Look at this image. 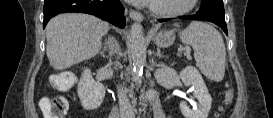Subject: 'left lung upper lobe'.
Masks as SVG:
<instances>
[{
    "mask_svg": "<svg viewBox=\"0 0 273 118\" xmlns=\"http://www.w3.org/2000/svg\"><path fill=\"white\" fill-rule=\"evenodd\" d=\"M197 13L214 15L225 19L223 0H202Z\"/></svg>",
    "mask_w": 273,
    "mask_h": 118,
    "instance_id": "1",
    "label": "left lung upper lobe"
}]
</instances>
